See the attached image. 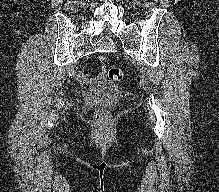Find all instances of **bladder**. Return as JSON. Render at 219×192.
Wrapping results in <instances>:
<instances>
[{"mask_svg": "<svg viewBox=\"0 0 219 192\" xmlns=\"http://www.w3.org/2000/svg\"><path fill=\"white\" fill-rule=\"evenodd\" d=\"M107 91V95H109L110 93H111V90L110 89H108V90H106Z\"/></svg>", "mask_w": 219, "mask_h": 192, "instance_id": "1", "label": "bladder"}]
</instances>
